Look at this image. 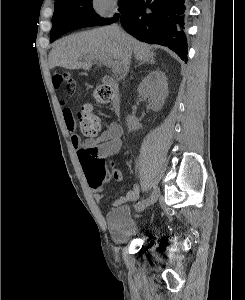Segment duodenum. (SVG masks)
Returning a JSON list of instances; mask_svg holds the SVG:
<instances>
[{
  "mask_svg": "<svg viewBox=\"0 0 245 300\" xmlns=\"http://www.w3.org/2000/svg\"><path fill=\"white\" fill-rule=\"evenodd\" d=\"M103 82L107 86L111 87L113 90L112 108H113V111L117 115H119L120 111H121V104H120V94H119L118 86H117L116 82L113 80V78H111L109 76L103 77Z\"/></svg>",
  "mask_w": 245,
  "mask_h": 300,
  "instance_id": "duodenum-1",
  "label": "duodenum"
}]
</instances>
